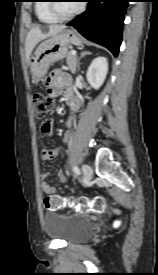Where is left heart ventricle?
<instances>
[{
    "mask_svg": "<svg viewBox=\"0 0 158 275\" xmlns=\"http://www.w3.org/2000/svg\"><path fill=\"white\" fill-rule=\"evenodd\" d=\"M62 2H70V3H60V9L63 13L68 14L75 10L80 4L76 3L79 1H62Z\"/></svg>",
    "mask_w": 158,
    "mask_h": 275,
    "instance_id": "left-heart-ventricle-1",
    "label": "left heart ventricle"
}]
</instances>
